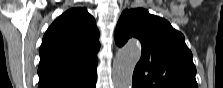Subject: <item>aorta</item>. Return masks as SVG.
<instances>
[{"label":"aorta","instance_id":"aorta-1","mask_svg":"<svg viewBox=\"0 0 223 88\" xmlns=\"http://www.w3.org/2000/svg\"><path fill=\"white\" fill-rule=\"evenodd\" d=\"M141 57V44L130 40L116 54L112 66V81L115 88H131L134 68Z\"/></svg>","mask_w":223,"mask_h":88}]
</instances>
